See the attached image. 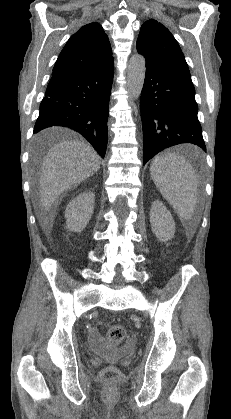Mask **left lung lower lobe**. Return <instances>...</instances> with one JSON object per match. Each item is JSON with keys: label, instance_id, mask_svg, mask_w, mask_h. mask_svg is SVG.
<instances>
[{"label": "left lung lower lobe", "instance_id": "1", "mask_svg": "<svg viewBox=\"0 0 231 419\" xmlns=\"http://www.w3.org/2000/svg\"><path fill=\"white\" fill-rule=\"evenodd\" d=\"M188 75L147 68L141 93L144 163L161 150L191 143L206 151Z\"/></svg>", "mask_w": 231, "mask_h": 419}]
</instances>
